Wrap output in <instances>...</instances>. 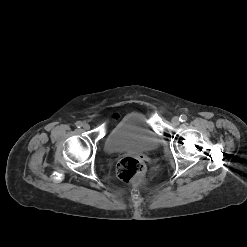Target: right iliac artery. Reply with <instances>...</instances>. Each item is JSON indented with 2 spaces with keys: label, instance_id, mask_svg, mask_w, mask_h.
I'll use <instances>...</instances> for the list:
<instances>
[{
  "label": "right iliac artery",
  "instance_id": "right-iliac-artery-1",
  "mask_svg": "<svg viewBox=\"0 0 247 247\" xmlns=\"http://www.w3.org/2000/svg\"><path fill=\"white\" fill-rule=\"evenodd\" d=\"M75 125H76L78 128H81V127H82V122L77 121V122L75 123Z\"/></svg>",
  "mask_w": 247,
  "mask_h": 247
}]
</instances>
